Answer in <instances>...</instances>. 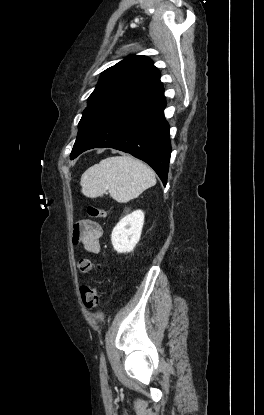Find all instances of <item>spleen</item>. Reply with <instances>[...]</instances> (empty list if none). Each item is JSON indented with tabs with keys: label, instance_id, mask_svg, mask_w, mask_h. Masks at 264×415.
Segmentation results:
<instances>
[{
	"label": "spleen",
	"instance_id": "obj_1",
	"mask_svg": "<svg viewBox=\"0 0 264 415\" xmlns=\"http://www.w3.org/2000/svg\"><path fill=\"white\" fill-rule=\"evenodd\" d=\"M156 184L154 171L127 155L108 157L88 168L82 175L81 192L90 198L110 196L120 203L137 198Z\"/></svg>",
	"mask_w": 264,
	"mask_h": 415
}]
</instances>
